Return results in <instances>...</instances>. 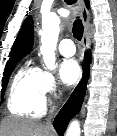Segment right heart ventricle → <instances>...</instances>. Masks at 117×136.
<instances>
[{"mask_svg":"<svg viewBox=\"0 0 117 136\" xmlns=\"http://www.w3.org/2000/svg\"><path fill=\"white\" fill-rule=\"evenodd\" d=\"M40 70L23 66L15 74L9 89L8 109L11 113L30 118H40L45 103L39 87Z\"/></svg>","mask_w":117,"mask_h":136,"instance_id":"right-heart-ventricle-1","label":"right heart ventricle"}]
</instances>
